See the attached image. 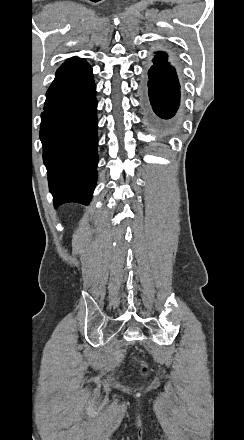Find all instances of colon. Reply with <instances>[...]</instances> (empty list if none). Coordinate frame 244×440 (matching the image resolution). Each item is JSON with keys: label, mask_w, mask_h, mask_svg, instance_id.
Here are the masks:
<instances>
[{"label": "colon", "mask_w": 244, "mask_h": 440, "mask_svg": "<svg viewBox=\"0 0 244 440\" xmlns=\"http://www.w3.org/2000/svg\"><path fill=\"white\" fill-rule=\"evenodd\" d=\"M147 370H148L147 368H144V369H143V372H144V373H147Z\"/></svg>", "instance_id": "1"}]
</instances>
